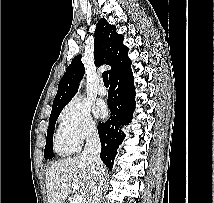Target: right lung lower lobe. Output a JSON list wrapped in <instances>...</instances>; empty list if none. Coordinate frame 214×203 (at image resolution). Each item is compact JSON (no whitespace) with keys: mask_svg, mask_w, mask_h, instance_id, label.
<instances>
[{"mask_svg":"<svg viewBox=\"0 0 214 203\" xmlns=\"http://www.w3.org/2000/svg\"><path fill=\"white\" fill-rule=\"evenodd\" d=\"M135 87L131 67L110 79L108 92V107L110 118L100 122L98 133L102 150L101 160L111 169L117 149L125 138L121 126L130 123L135 109Z\"/></svg>","mask_w":214,"mask_h":203,"instance_id":"98d812e1","label":"right lung lower lobe"}]
</instances>
